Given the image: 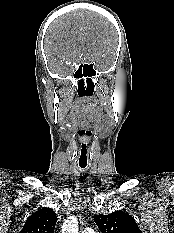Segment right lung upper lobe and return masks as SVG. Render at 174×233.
Wrapping results in <instances>:
<instances>
[{"label": "right lung upper lobe", "mask_w": 174, "mask_h": 233, "mask_svg": "<svg viewBox=\"0 0 174 233\" xmlns=\"http://www.w3.org/2000/svg\"><path fill=\"white\" fill-rule=\"evenodd\" d=\"M56 221V214L51 208H42L28 217L19 233H54Z\"/></svg>", "instance_id": "1"}]
</instances>
